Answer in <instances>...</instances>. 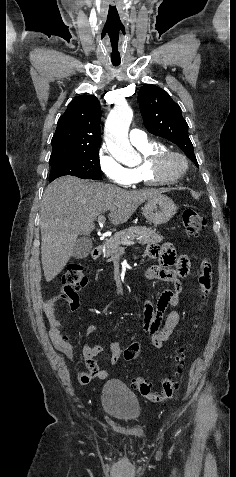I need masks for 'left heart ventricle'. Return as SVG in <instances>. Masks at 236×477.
<instances>
[{
  "label": "left heart ventricle",
  "instance_id": "b2bd125f",
  "mask_svg": "<svg viewBox=\"0 0 236 477\" xmlns=\"http://www.w3.org/2000/svg\"><path fill=\"white\" fill-rule=\"evenodd\" d=\"M182 165L179 160L172 159L167 162L165 166V173L166 174H175L181 169Z\"/></svg>",
  "mask_w": 236,
  "mask_h": 477
}]
</instances>
